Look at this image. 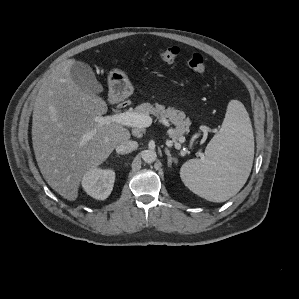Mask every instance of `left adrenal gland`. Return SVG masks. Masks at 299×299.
I'll use <instances>...</instances> for the list:
<instances>
[{
	"instance_id": "left-adrenal-gland-1",
	"label": "left adrenal gland",
	"mask_w": 299,
	"mask_h": 299,
	"mask_svg": "<svg viewBox=\"0 0 299 299\" xmlns=\"http://www.w3.org/2000/svg\"><path fill=\"white\" fill-rule=\"evenodd\" d=\"M165 154L168 156V167H171L172 163H177V160L174 157H172L168 148H165Z\"/></svg>"
}]
</instances>
